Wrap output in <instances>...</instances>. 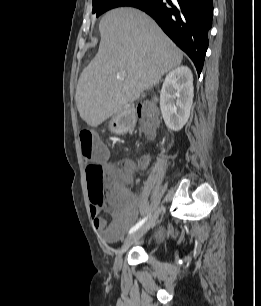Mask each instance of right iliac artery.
Segmentation results:
<instances>
[{
  "instance_id": "obj_1",
  "label": "right iliac artery",
  "mask_w": 261,
  "mask_h": 306,
  "mask_svg": "<svg viewBox=\"0 0 261 306\" xmlns=\"http://www.w3.org/2000/svg\"><path fill=\"white\" fill-rule=\"evenodd\" d=\"M148 216L143 218L142 220H140L137 224H135L129 231V234L133 233L134 231H136L137 229H139L147 220Z\"/></svg>"
}]
</instances>
